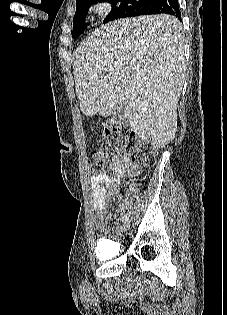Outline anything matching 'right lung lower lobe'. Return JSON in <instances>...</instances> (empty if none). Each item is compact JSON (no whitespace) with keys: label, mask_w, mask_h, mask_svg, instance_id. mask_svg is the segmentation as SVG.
<instances>
[{"label":"right lung lower lobe","mask_w":227,"mask_h":315,"mask_svg":"<svg viewBox=\"0 0 227 315\" xmlns=\"http://www.w3.org/2000/svg\"><path fill=\"white\" fill-rule=\"evenodd\" d=\"M151 14H170L181 21L178 0H147L140 8L127 9L122 18Z\"/></svg>","instance_id":"right-lung-lower-lobe-1"}]
</instances>
